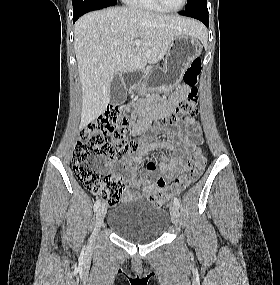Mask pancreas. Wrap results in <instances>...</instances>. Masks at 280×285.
I'll return each mask as SVG.
<instances>
[{
	"label": "pancreas",
	"instance_id": "1",
	"mask_svg": "<svg viewBox=\"0 0 280 285\" xmlns=\"http://www.w3.org/2000/svg\"><path fill=\"white\" fill-rule=\"evenodd\" d=\"M151 69H152L151 66L146 67V68L144 69V74L149 73V71H150Z\"/></svg>",
	"mask_w": 280,
	"mask_h": 285
}]
</instances>
